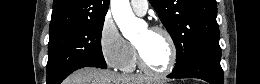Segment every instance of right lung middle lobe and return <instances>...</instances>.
I'll return each instance as SVG.
<instances>
[{
  "mask_svg": "<svg viewBox=\"0 0 260 84\" xmlns=\"http://www.w3.org/2000/svg\"><path fill=\"white\" fill-rule=\"evenodd\" d=\"M104 20H83L50 31L47 84H59L70 73L82 67H107L101 48Z\"/></svg>",
  "mask_w": 260,
  "mask_h": 84,
  "instance_id": "right-lung-middle-lobe-1",
  "label": "right lung middle lobe"
}]
</instances>
